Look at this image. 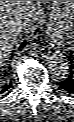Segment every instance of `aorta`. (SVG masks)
<instances>
[{"mask_svg": "<svg viewBox=\"0 0 74 122\" xmlns=\"http://www.w3.org/2000/svg\"><path fill=\"white\" fill-rule=\"evenodd\" d=\"M46 68L54 75L68 73L69 64L66 56L59 52H50L45 57Z\"/></svg>", "mask_w": 74, "mask_h": 122, "instance_id": "aorta-1", "label": "aorta"}]
</instances>
